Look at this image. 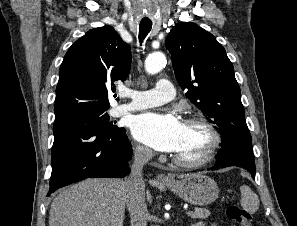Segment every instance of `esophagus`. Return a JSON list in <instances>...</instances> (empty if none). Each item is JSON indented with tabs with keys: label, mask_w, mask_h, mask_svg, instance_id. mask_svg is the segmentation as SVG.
Instances as JSON below:
<instances>
[{
	"label": "esophagus",
	"mask_w": 297,
	"mask_h": 226,
	"mask_svg": "<svg viewBox=\"0 0 297 226\" xmlns=\"http://www.w3.org/2000/svg\"><path fill=\"white\" fill-rule=\"evenodd\" d=\"M157 180L160 182H168V181H171V178H169L168 176H166L164 174H158Z\"/></svg>",
	"instance_id": "34e87169"
}]
</instances>
